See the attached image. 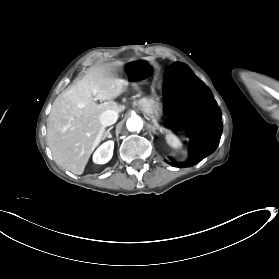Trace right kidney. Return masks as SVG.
Here are the masks:
<instances>
[{"label": "right kidney", "mask_w": 279, "mask_h": 279, "mask_svg": "<svg viewBox=\"0 0 279 279\" xmlns=\"http://www.w3.org/2000/svg\"><path fill=\"white\" fill-rule=\"evenodd\" d=\"M114 141L104 142L93 154V162L96 164L107 163L113 155Z\"/></svg>", "instance_id": "obj_1"}]
</instances>
